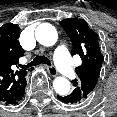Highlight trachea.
I'll list each match as a JSON object with an SVG mask.
<instances>
[{
	"label": "trachea",
	"instance_id": "1",
	"mask_svg": "<svg viewBox=\"0 0 117 117\" xmlns=\"http://www.w3.org/2000/svg\"><path fill=\"white\" fill-rule=\"evenodd\" d=\"M40 63H42V64H47V65L51 66V62H50V60H49L47 57L41 56V55H40V56L37 55V56L33 59L32 62H30L29 64H27V65H25V66H21V68H22V69H29V68H32V67H34V66L39 65Z\"/></svg>",
	"mask_w": 117,
	"mask_h": 117
}]
</instances>
